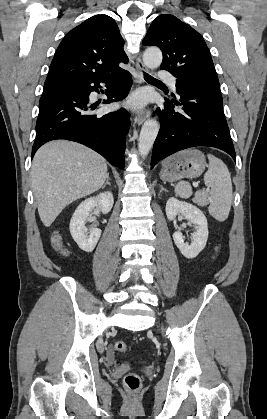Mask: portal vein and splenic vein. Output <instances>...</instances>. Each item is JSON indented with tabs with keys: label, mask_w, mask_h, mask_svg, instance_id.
I'll return each mask as SVG.
<instances>
[{
	"label": "portal vein and splenic vein",
	"mask_w": 267,
	"mask_h": 419,
	"mask_svg": "<svg viewBox=\"0 0 267 419\" xmlns=\"http://www.w3.org/2000/svg\"><path fill=\"white\" fill-rule=\"evenodd\" d=\"M194 186H195V187H198V183H197V182H196V183H194Z\"/></svg>",
	"instance_id": "obj_1"
}]
</instances>
